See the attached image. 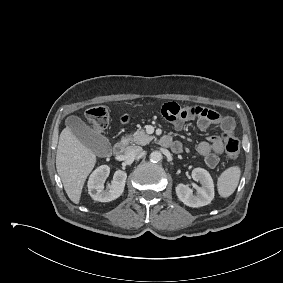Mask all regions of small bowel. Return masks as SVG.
<instances>
[{"instance_id":"small-bowel-1","label":"small bowel","mask_w":283,"mask_h":283,"mask_svg":"<svg viewBox=\"0 0 283 283\" xmlns=\"http://www.w3.org/2000/svg\"><path fill=\"white\" fill-rule=\"evenodd\" d=\"M162 115L170 121L175 130L181 131L187 121H196L197 126L202 131H208L217 127L221 132H231L234 130L235 122L230 116L223 115L212 109L200 106L182 107L174 102L165 103L162 107ZM127 114L121 117L123 123L127 122ZM170 140V146L174 152L182 150L179 141ZM224 147L222 139L218 135H210L207 140L202 141L197 146L198 153L204 158L205 164L209 168H215L219 163V156L223 153Z\"/></svg>"}]
</instances>
